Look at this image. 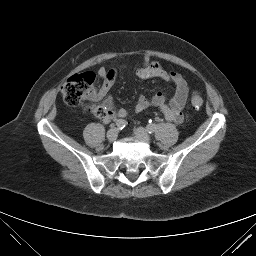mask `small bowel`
Segmentation results:
<instances>
[{
	"mask_svg": "<svg viewBox=\"0 0 256 256\" xmlns=\"http://www.w3.org/2000/svg\"><path fill=\"white\" fill-rule=\"evenodd\" d=\"M98 74L102 79L101 88L92 97V100L101 102L105 109L103 120L108 122L115 118H124L128 112L124 108H116L115 103L110 96V90L117 77L116 69H107L100 67ZM136 75L142 80L160 78L173 84L175 92L173 97L167 103L163 93L157 92L151 97L140 95L134 106L136 113L143 112L149 107H156L168 121L180 124L184 119L183 110L188 98L189 87L185 78L176 71H170L158 62L151 60L149 54L143 56V65L136 70Z\"/></svg>",
	"mask_w": 256,
	"mask_h": 256,
	"instance_id": "c3829d8e",
	"label": "small bowel"
}]
</instances>
